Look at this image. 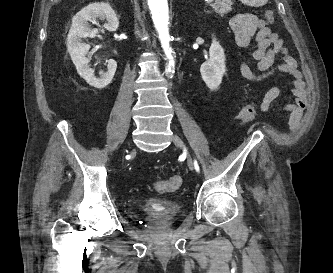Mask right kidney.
<instances>
[{
    "label": "right kidney",
    "mask_w": 333,
    "mask_h": 273,
    "mask_svg": "<svg viewBox=\"0 0 333 273\" xmlns=\"http://www.w3.org/2000/svg\"><path fill=\"white\" fill-rule=\"evenodd\" d=\"M97 19L105 21L104 28L108 31H116L119 26L118 18L109 3H91L73 17L67 37V50L78 74L90 86L103 89L111 83L117 69V62L109 59L106 62L107 71L100 77H96L94 69L89 66L90 60L86 57L90 45L82 41V38H94L98 34V29H92L89 25V22L99 25Z\"/></svg>",
    "instance_id": "1"
}]
</instances>
